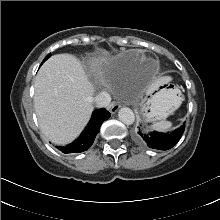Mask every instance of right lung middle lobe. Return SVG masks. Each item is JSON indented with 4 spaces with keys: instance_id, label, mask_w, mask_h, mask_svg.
Instances as JSON below:
<instances>
[{
    "instance_id": "right-lung-middle-lobe-1",
    "label": "right lung middle lobe",
    "mask_w": 220,
    "mask_h": 220,
    "mask_svg": "<svg viewBox=\"0 0 220 220\" xmlns=\"http://www.w3.org/2000/svg\"><path fill=\"white\" fill-rule=\"evenodd\" d=\"M50 56H51V54H48V55L45 57V59L43 60V62H44L45 60H47ZM43 62H42V63H43Z\"/></svg>"
}]
</instances>
